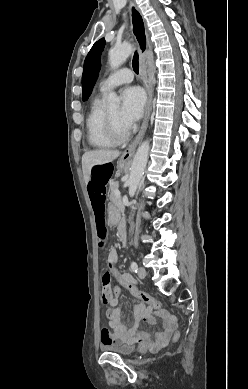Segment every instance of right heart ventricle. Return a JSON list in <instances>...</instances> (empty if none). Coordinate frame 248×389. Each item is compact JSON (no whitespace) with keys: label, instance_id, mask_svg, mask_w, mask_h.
<instances>
[{"label":"right heart ventricle","instance_id":"e07e8e85","mask_svg":"<svg viewBox=\"0 0 248 389\" xmlns=\"http://www.w3.org/2000/svg\"><path fill=\"white\" fill-rule=\"evenodd\" d=\"M101 104L102 98L100 96H97L92 100L86 117V133L88 142L91 146L105 149L113 147L115 142L107 134L105 120L106 112Z\"/></svg>","mask_w":248,"mask_h":389}]
</instances>
